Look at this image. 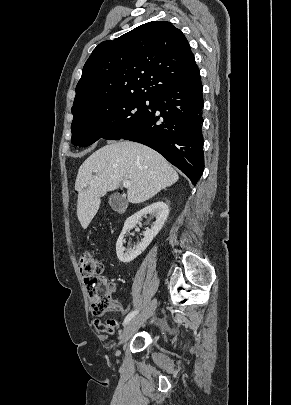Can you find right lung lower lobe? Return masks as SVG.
Wrapping results in <instances>:
<instances>
[{
	"label": "right lung lower lobe",
	"mask_w": 291,
	"mask_h": 405,
	"mask_svg": "<svg viewBox=\"0 0 291 405\" xmlns=\"http://www.w3.org/2000/svg\"><path fill=\"white\" fill-rule=\"evenodd\" d=\"M202 91L200 74L159 90L146 119L122 137L158 151L194 185L204 170Z\"/></svg>",
	"instance_id": "1"
}]
</instances>
